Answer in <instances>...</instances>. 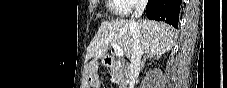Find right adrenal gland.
<instances>
[{
    "label": "right adrenal gland",
    "instance_id": "1",
    "mask_svg": "<svg viewBox=\"0 0 227 88\" xmlns=\"http://www.w3.org/2000/svg\"><path fill=\"white\" fill-rule=\"evenodd\" d=\"M160 56L159 55H157V56H155V55H150V54H147V55H145L144 57H143V60H142V63H141V69H143V67H144V64H145V62H146V60L147 59H158Z\"/></svg>",
    "mask_w": 227,
    "mask_h": 88
}]
</instances>
